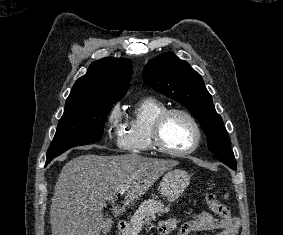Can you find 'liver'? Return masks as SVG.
<instances>
[{"label":"liver","instance_id":"obj_1","mask_svg":"<svg viewBox=\"0 0 283 235\" xmlns=\"http://www.w3.org/2000/svg\"><path fill=\"white\" fill-rule=\"evenodd\" d=\"M178 164L136 153L73 158L64 165L55 185L50 208L52 235H106L112 223L105 221L103 206L121 185L128 187L126 205L133 204ZM121 213L123 208L114 207L115 216Z\"/></svg>","mask_w":283,"mask_h":235}]
</instances>
